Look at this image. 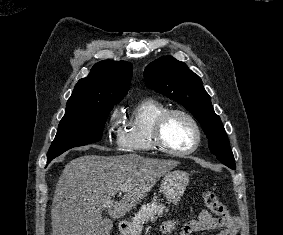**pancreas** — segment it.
Instances as JSON below:
<instances>
[{"label":"pancreas","instance_id":"pancreas-1","mask_svg":"<svg viewBox=\"0 0 283 235\" xmlns=\"http://www.w3.org/2000/svg\"><path fill=\"white\" fill-rule=\"evenodd\" d=\"M165 208L166 207L164 204L157 202L156 200L142 205L140 210L137 212V214H135L134 218L132 219V225L136 234L138 235L145 223L149 221H154L158 217H161ZM165 211L167 212L168 209H166Z\"/></svg>","mask_w":283,"mask_h":235}]
</instances>
